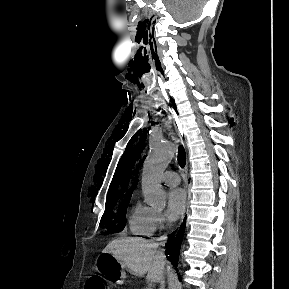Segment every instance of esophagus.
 Wrapping results in <instances>:
<instances>
[{"label":"esophagus","mask_w":289,"mask_h":289,"mask_svg":"<svg viewBox=\"0 0 289 289\" xmlns=\"http://www.w3.org/2000/svg\"><path fill=\"white\" fill-rule=\"evenodd\" d=\"M174 127H175V132L176 135L182 140L186 153L189 154V147L187 144V140L186 138L183 136L182 132H181V124L179 119H175L174 120ZM185 183H186V188L188 189V196H187V200L190 199V192H189V174H188V158L186 160V166H185Z\"/></svg>","instance_id":"34e87169"}]
</instances>
